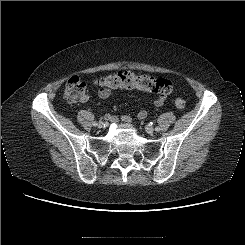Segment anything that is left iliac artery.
I'll return each mask as SVG.
<instances>
[{"instance_id": "left-iliac-artery-1", "label": "left iliac artery", "mask_w": 245, "mask_h": 245, "mask_svg": "<svg viewBox=\"0 0 245 245\" xmlns=\"http://www.w3.org/2000/svg\"><path fill=\"white\" fill-rule=\"evenodd\" d=\"M150 124L152 125L153 123H152V122H150ZM155 130H156V131H159V130H160V128H159V127H156V128H155Z\"/></svg>"}]
</instances>
